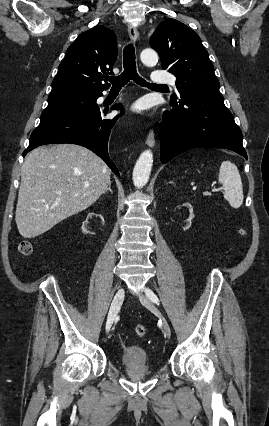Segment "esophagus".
Instances as JSON below:
<instances>
[{
  "instance_id": "34e87169",
  "label": "esophagus",
  "mask_w": 269,
  "mask_h": 426,
  "mask_svg": "<svg viewBox=\"0 0 269 426\" xmlns=\"http://www.w3.org/2000/svg\"><path fill=\"white\" fill-rule=\"evenodd\" d=\"M129 37L133 42L138 40L139 34L138 30L134 25L128 26ZM146 143L148 146L153 147L155 145V135L153 131H150L147 135Z\"/></svg>"
}]
</instances>
